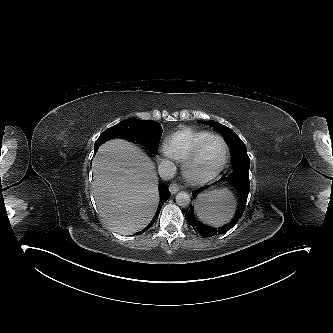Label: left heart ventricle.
Instances as JSON below:
<instances>
[{"mask_svg": "<svg viewBox=\"0 0 333 333\" xmlns=\"http://www.w3.org/2000/svg\"><path fill=\"white\" fill-rule=\"evenodd\" d=\"M223 155V143L218 139L210 140L193 163V172L198 175H206L213 172L220 165Z\"/></svg>", "mask_w": 333, "mask_h": 333, "instance_id": "b2bd125f", "label": "left heart ventricle"}]
</instances>
